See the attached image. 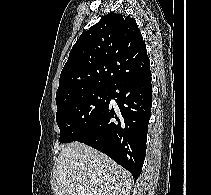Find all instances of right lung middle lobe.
<instances>
[{
	"mask_svg": "<svg viewBox=\"0 0 211 195\" xmlns=\"http://www.w3.org/2000/svg\"><path fill=\"white\" fill-rule=\"evenodd\" d=\"M111 89H95L73 96L57 105L56 121L60 143L75 141L103 113L109 104Z\"/></svg>",
	"mask_w": 211,
	"mask_h": 195,
	"instance_id": "right-lung-middle-lobe-1",
	"label": "right lung middle lobe"
}]
</instances>
